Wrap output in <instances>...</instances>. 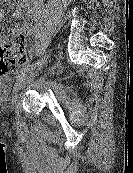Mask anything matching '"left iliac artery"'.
I'll return each mask as SVG.
<instances>
[{
	"label": "left iliac artery",
	"mask_w": 133,
	"mask_h": 173,
	"mask_svg": "<svg viewBox=\"0 0 133 173\" xmlns=\"http://www.w3.org/2000/svg\"><path fill=\"white\" fill-rule=\"evenodd\" d=\"M46 57V55H45ZM34 64H27L24 67H22L19 71L16 72V78L21 77L24 73L29 71L30 69H33Z\"/></svg>",
	"instance_id": "1"
}]
</instances>
